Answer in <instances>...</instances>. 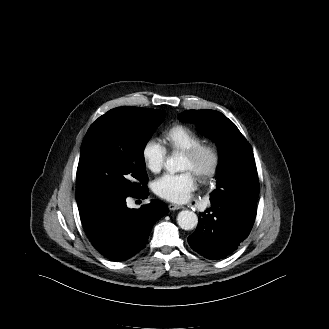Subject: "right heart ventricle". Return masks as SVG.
I'll return each instance as SVG.
<instances>
[{
    "instance_id": "1",
    "label": "right heart ventricle",
    "mask_w": 329,
    "mask_h": 329,
    "mask_svg": "<svg viewBox=\"0 0 329 329\" xmlns=\"http://www.w3.org/2000/svg\"><path fill=\"white\" fill-rule=\"evenodd\" d=\"M164 139L174 152H185L203 141L199 133L183 124H175L168 128L164 133Z\"/></svg>"
}]
</instances>
